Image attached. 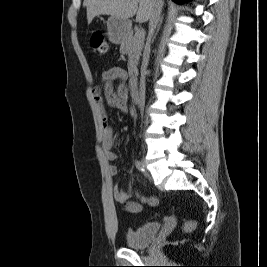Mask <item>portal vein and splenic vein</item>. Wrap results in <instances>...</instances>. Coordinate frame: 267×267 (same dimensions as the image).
Returning <instances> with one entry per match:
<instances>
[{"label": "portal vein and splenic vein", "mask_w": 267, "mask_h": 267, "mask_svg": "<svg viewBox=\"0 0 267 267\" xmlns=\"http://www.w3.org/2000/svg\"><path fill=\"white\" fill-rule=\"evenodd\" d=\"M135 36L138 38V39H144L145 37V31L144 29H141L140 31L136 32Z\"/></svg>", "instance_id": "18ae733b"}]
</instances>
